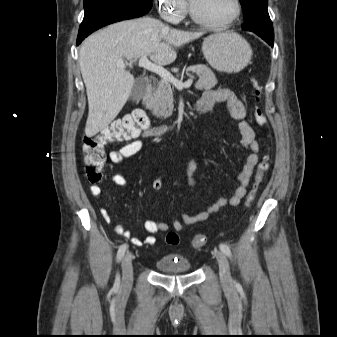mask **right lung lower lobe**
<instances>
[{"label": "right lung lower lobe", "mask_w": 337, "mask_h": 337, "mask_svg": "<svg viewBox=\"0 0 337 337\" xmlns=\"http://www.w3.org/2000/svg\"><path fill=\"white\" fill-rule=\"evenodd\" d=\"M152 4H136L126 0H98L85 7L84 19L79 28L77 45L85 37L108 24L143 16Z\"/></svg>", "instance_id": "98d812e1"}]
</instances>
